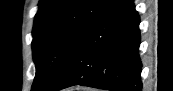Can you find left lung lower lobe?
Returning <instances> with one entry per match:
<instances>
[{
  "label": "left lung lower lobe",
  "instance_id": "0a47b994",
  "mask_svg": "<svg viewBox=\"0 0 173 91\" xmlns=\"http://www.w3.org/2000/svg\"><path fill=\"white\" fill-rule=\"evenodd\" d=\"M139 23L132 0H114L81 42L50 91L74 85L141 91Z\"/></svg>",
  "mask_w": 173,
  "mask_h": 91
}]
</instances>
